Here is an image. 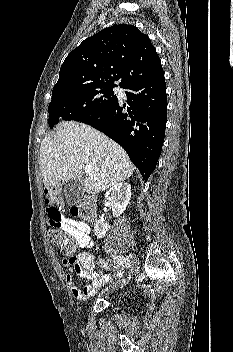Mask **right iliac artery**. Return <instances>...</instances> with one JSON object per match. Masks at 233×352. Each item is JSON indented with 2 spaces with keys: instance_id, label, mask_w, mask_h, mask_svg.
Returning a JSON list of instances; mask_svg holds the SVG:
<instances>
[{
  "instance_id": "right-iliac-artery-1",
  "label": "right iliac artery",
  "mask_w": 233,
  "mask_h": 352,
  "mask_svg": "<svg viewBox=\"0 0 233 352\" xmlns=\"http://www.w3.org/2000/svg\"><path fill=\"white\" fill-rule=\"evenodd\" d=\"M114 261L123 267L129 268L130 267V260L127 257L117 256L114 257Z\"/></svg>"
}]
</instances>
